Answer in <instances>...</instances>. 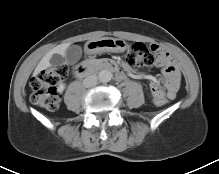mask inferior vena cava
Returning a JSON list of instances; mask_svg holds the SVG:
<instances>
[{
    "label": "inferior vena cava",
    "instance_id": "inferior-vena-cava-1",
    "mask_svg": "<svg viewBox=\"0 0 219 174\" xmlns=\"http://www.w3.org/2000/svg\"><path fill=\"white\" fill-rule=\"evenodd\" d=\"M98 81V78L96 75H90L87 76L84 80H83V86L86 88H91L96 86Z\"/></svg>",
    "mask_w": 219,
    "mask_h": 174
}]
</instances>
